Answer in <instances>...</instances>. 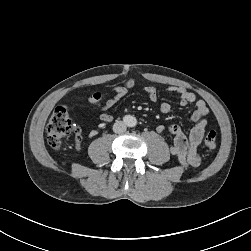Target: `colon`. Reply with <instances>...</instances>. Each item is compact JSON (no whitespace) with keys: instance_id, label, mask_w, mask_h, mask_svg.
I'll use <instances>...</instances> for the list:
<instances>
[{"instance_id":"5ec220e1","label":"colon","mask_w":251,"mask_h":251,"mask_svg":"<svg viewBox=\"0 0 251 251\" xmlns=\"http://www.w3.org/2000/svg\"><path fill=\"white\" fill-rule=\"evenodd\" d=\"M103 100L104 95L101 93H96L89 99L93 105H99ZM46 133L48 144L55 150L62 146L64 139L71 133H74L77 144L81 142V131L71 121L69 110L64 105L54 109L50 116ZM204 143L208 149H215L217 146V133L213 130L209 131Z\"/></svg>"}]
</instances>
